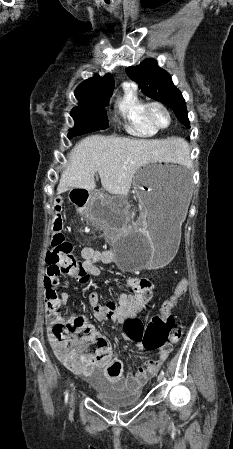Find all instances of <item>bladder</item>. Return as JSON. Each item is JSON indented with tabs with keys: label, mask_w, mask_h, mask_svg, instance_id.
Segmentation results:
<instances>
[{
	"label": "bladder",
	"mask_w": 233,
	"mask_h": 449,
	"mask_svg": "<svg viewBox=\"0 0 233 449\" xmlns=\"http://www.w3.org/2000/svg\"><path fill=\"white\" fill-rule=\"evenodd\" d=\"M93 388L96 398L109 409L131 407L141 400V389L137 387L118 389L106 382H95Z\"/></svg>",
	"instance_id": "obj_1"
}]
</instances>
